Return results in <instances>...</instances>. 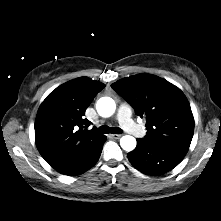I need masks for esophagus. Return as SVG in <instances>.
Instances as JSON below:
<instances>
[{
    "instance_id": "34e87169",
    "label": "esophagus",
    "mask_w": 221,
    "mask_h": 221,
    "mask_svg": "<svg viewBox=\"0 0 221 221\" xmlns=\"http://www.w3.org/2000/svg\"><path fill=\"white\" fill-rule=\"evenodd\" d=\"M111 136L115 139H119L122 136V134H112Z\"/></svg>"
}]
</instances>
